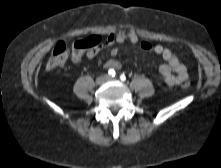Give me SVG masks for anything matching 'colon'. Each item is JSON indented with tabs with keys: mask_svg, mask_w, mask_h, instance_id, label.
<instances>
[{
	"mask_svg": "<svg viewBox=\"0 0 221 168\" xmlns=\"http://www.w3.org/2000/svg\"><path fill=\"white\" fill-rule=\"evenodd\" d=\"M140 40V37L137 32L133 29H124L116 30L115 32H109L106 36L103 37V42L105 45L110 46L112 44H124L127 41L130 44H136ZM100 37L92 36L87 40L76 42L71 49L67 48L66 44L59 42L55 45L52 50V53L46 63L47 70L56 69L64 65L69 59L78 60L84 54L86 50H93L99 47ZM189 83H184L183 88H188Z\"/></svg>",
	"mask_w": 221,
	"mask_h": 168,
	"instance_id": "1",
	"label": "colon"
}]
</instances>
